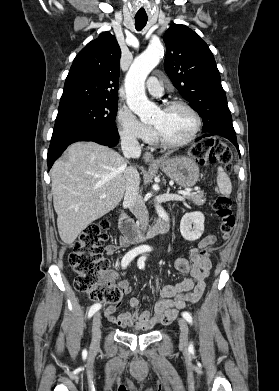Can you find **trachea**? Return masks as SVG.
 Segmentation results:
<instances>
[{"instance_id":"1","label":"trachea","mask_w":279,"mask_h":391,"mask_svg":"<svg viewBox=\"0 0 279 391\" xmlns=\"http://www.w3.org/2000/svg\"><path fill=\"white\" fill-rule=\"evenodd\" d=\"M147 23V18H135V27L137 31H141Z\"/></svg>"}]
</instances>
